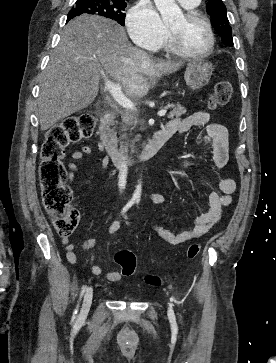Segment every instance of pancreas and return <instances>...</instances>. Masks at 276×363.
Listing matches in <instances>:
<instances>
[{"instance_id": "cf45deb5", "label": "pancreas", "mask_w": 276, "mask_h": 363, "mask_svg": "<svg viewBox=\"0 0 276 363\" xmlns=\"http://www.w3.org/2000/svg\"><path fill=\"white\" fill-rule=\"evenodd\" d=\"M168 107L172 108V110L170 111V113L168 115V118H170V119L178 118L181 115L186 113V109L183 106H181L180 104H169ZM127 120L129 121V124L132 125L133 127H135L137 125L136 118L129 116V117H127ZM109 134H110L111 138L113 139L114 143L117 144V142H118V139L116 136L117 133L114 130V128L109 130Z\"/></svg>"}]
</instances>
